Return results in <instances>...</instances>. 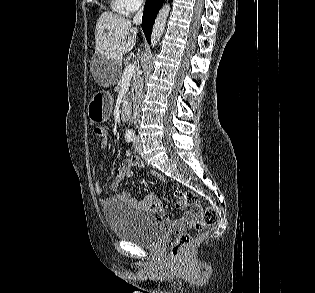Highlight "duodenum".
Here are the masks:
<instances>
[{"label":"duodenum","instance_id":"obj_1","mask_svg":"<svg viewBox=\"0 0 315 293\" xmlns=\"http://www.w3.org/2000/svg\"><path fill=\"white\" fill-rule=\"evenodd\" d=\"M130 111H131L130 104L128 102H124L122 107H121V118L124 121H127L129 119Z\"/></svg>","mask_w":315,"mask_h":293}]
</instances>
